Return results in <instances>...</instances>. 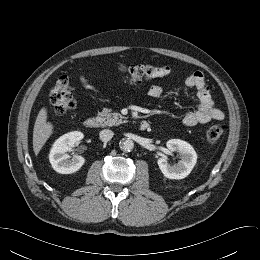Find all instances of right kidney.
<instances>
[{"label":"right kidney","mask_w":260,"mask_h":260,"mask_svg":"<svg viewBox=\"0 0 260 260\" xmlns=\"http://www.w3.org/2000/svg\"><path fill=\"white\" fill-rule=\"evenodd\" d=\"M82 139L83 133L74 131L64 134L55 141L49 154V161L56 172L71 174L78 171L84 165L85 159L82 156H74L70 160L67 154Z\"/></svg>","instance_id":"right-kidney-1"}]
</instances>
